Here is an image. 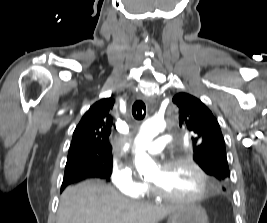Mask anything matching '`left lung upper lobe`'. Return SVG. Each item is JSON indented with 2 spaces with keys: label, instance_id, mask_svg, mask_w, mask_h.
Masks as SVG:
<instances>
[{
  "label": "left lung upper lobe",
  "instance_id": "left-lung-upper-lobe-1",
  "mask_svg": "<svg viewBox=\"0 0 267 223\" xmlns=\"http://www.w3.org/2000/svg\"><path fill=\"white\" fill-rule=\"evenodd\" d=\"M179 108V125L189 130L194 161L208 174L224 183L230 177L225 142L218 121L197 98L179 93L173 98Z\"/></svg>",
  "mask_w": 267,
  "mask_h": 223
}]
</instances>
